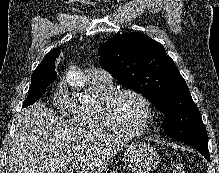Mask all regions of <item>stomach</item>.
<instances>
[{"mask_svg":"<svg viewBox=\"0 0 219 173\" xmlns=\"http://www.w3.org/2000/svg\"><path fill=\"white\" fill-rule=\"evenodd\" d=\"M123 160L131 173H149L160 161L158 152L145 142H133L124 150Z\"/></svg>","mask_w":219,"mask_h":173,"instance_id":"stomach-1","label":"stomach"}]
</instances>
